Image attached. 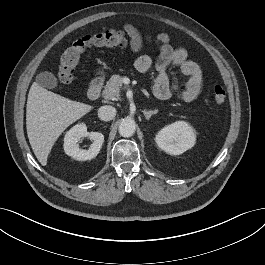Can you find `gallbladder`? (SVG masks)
Listing matches in <instances>:
<instances>
[{
    "mask_svg": "<svg viewBox=\"0 0 265 265\" xmlns=\"http://www.w3.org/2000/svg\"><path fill=\"white\" fill-rule=\"evenodd\" d=\"M37 83L48 89H56L58 87L57 78L51 72H43L37 75L36 77Z\"/></svg>",
    "mask_w": 265,
    "mask_h": 265,
    "instance_id": "obj_1",
    "label": "gallbladder"
}]
</instances>
